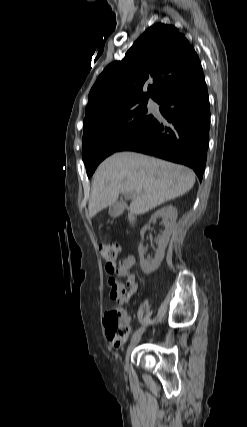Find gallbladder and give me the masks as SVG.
I'll return each instance as SVG.
<instances>
[{"label": "gallbladder", "instance_id": "obj_1", "mask_svg": "<svg viewBox=\"0 0 247 427\" xmlns=\"http://www.w3.org/2000/svg\"><path fill=\"white\" fill-rule=\"evenodd\" d=\"M124 208H125V203L123 201L115 202L110 206L109 214L112 217H118L123 213Z\"/></svg>", "mask_w": 247, "mask_h": 427}]
</instances>
